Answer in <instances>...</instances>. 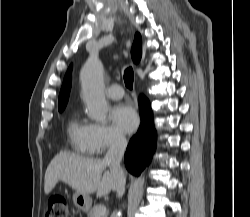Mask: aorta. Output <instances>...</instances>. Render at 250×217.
Instances as JSON below:
<instances>
[{"label": "aorta", "instance_id": "762f6f07", "mask_svg": "<svg viewBox=\"0 0 250 217\" xmlns=\"http://www.w3.org/2000/svg\"><path fill=\"white\" fill-rule=\"evenodd\" d=\"M83 100L88 116L95 121H103L108 112L104 95L103 65L96 56H91L80 72Z\"/></svg>", "mask_w": 250, "mask_h": 217}]
</instances>
